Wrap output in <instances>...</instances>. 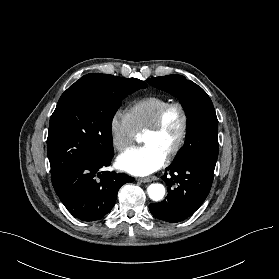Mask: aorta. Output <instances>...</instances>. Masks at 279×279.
Instances as JSON below:
<instances>
[{
  "label": "aorta",
  "mask_w": 279,
  "mask_h": 279,
  "mask_svg": "<svg viewBox=\"0 0 279 279\" xmlns=\"http://www.w3.org/2000/svg\"><path fill=\"white\" fill-rule=\"evenodd\" d=\"M148 195L153 201L162 200L165 195V188L162 184L153 183L147 188Z\"/></svg>",
  "instance_id": "aorta-1"
}]
</instances>
